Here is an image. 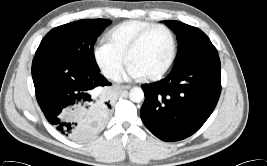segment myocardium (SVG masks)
Returning <instances> with one entry per match:
<instances>
[{
    "instance_id": "f54148a6",
    "label": "myocardium",
    "mask_w": 267,
    "mask_h": 166,
    "mask_svg": "<svg viewBox=\"0 0 267 166\" xmlns=\"http://www.w3.org/2000/svg\"><path fill=\"white\" fill-rule=\"evenodd\" d=\"M157 31H162V32H165L170 40H171V50H170V54H169V57H168V60L166 62V64L158 71L156 72L155 75H159L161 73H163L165 70L168 69V67L170 66L172 60H173V56H174V53H175V38H174V35L173 33L165 28V27H158V28H155L154 30H151L150 32L146 33L145 35H143L142 37H140L131 47L130 49V53L129 55L131 56L132 53L134 52V50L151 34H153L154 32H157Z\"/></svg>"
}]
</instances>
